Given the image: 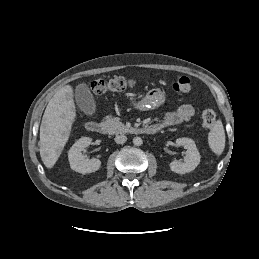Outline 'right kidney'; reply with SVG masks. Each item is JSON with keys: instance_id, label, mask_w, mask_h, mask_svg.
I'll use <instances>...</instances> for the list:
<instances>
[{"instance_id": "1", "label": "right kidney", "mask_w": 259, "mask_h": 259, "mask_svg": "<svg viewBox=\"0 0 259 259\" xmlns=\"http://www.w3.org/2000/svg\"><path fill=\"white\" fill-rule=\"evenodd\" d=\"M92 139L89 137H82L77 140L68 152V159L72 170L87 174L92 173L101 167L99 159H86L81 151L91 144Z\"/></svg>"}]
</instances>
